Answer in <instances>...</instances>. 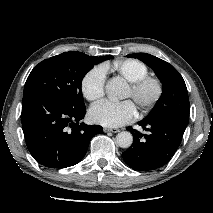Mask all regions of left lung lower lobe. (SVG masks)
Returning a JSON list of instances; mask_svg holds the SVG:
<instances>
[{"instance_id":"obj_1","label":"left lung lower lobe","mask_w":213,"mask_h":213,"mask_svg":"<svg viewBox=\"0 0 213 213\" xmlns=\"http://www.w3.org/2000/svg\"><path fill=\"white\" fill-rule=\"evenodd\" d=\"M146 133L127 127L133 144L122 153L125 163L137 171L154 170L165 165L181 143L188 122L175 117H163L138 122Z\"/></svg>"}]
</instances>
